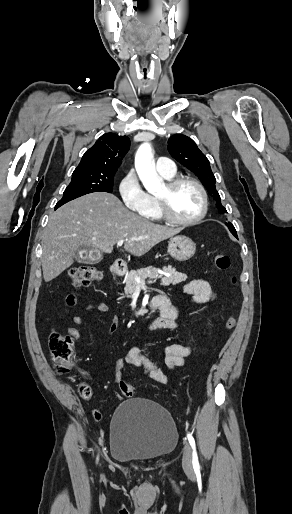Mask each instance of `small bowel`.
I'll list each match as a JSON object with an SVG mask.
<instances>
[{
  "label": "small bowel",
  "mask_w": 292,
  "mask_h": 514,
  "mask_svg": "<svg viewBox=\"0 0 292 514\" xmlns=\"http://www.w3.org/2000/svg\"><path fill=\"white\" fill-rule=\"evenodd\" d=\"M185 293L192 296L194 302L205 303L214 302L217 295L211 290L208 283L201 279H195L189 282L185 288ZM86 310H94L99 313H107L109 306L105 302H96L86 306ZM182 313V308L178 306H172L171 310L167 313L161 312L158 318L162 324V329L175 330L180 327L178 318ZM87 318L84 315H76L72 319L73 326L68 328L69 336L75 341H81L83 338L82 332L76 327L86 323ZM118 327V320L114 319L110 328L109 333H113ZM192 348L190 346H184L179 344H171L165 348V364L169 370H174L177 367L184 365L187 357L191 354ZM126 364H132L137 368L141 369L144 376L161 384H165L169 380V376L165 373L155 362L145 358L137 349L130 350L127 355L122 358H117L114 361V381L115 383H122L124 368ZM102 396H106V393H102ZM115 398H118L120 402L125 400V397L121 395L119 391L113 393Z\"/></svg>",
  "instance_id": "1"
}]
</instances>
